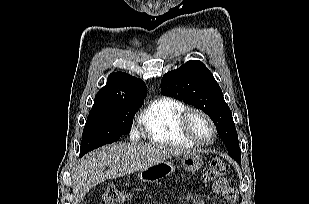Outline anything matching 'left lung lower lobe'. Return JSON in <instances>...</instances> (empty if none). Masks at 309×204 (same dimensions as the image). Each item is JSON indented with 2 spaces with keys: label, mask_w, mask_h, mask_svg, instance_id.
<instances>
[{
  "label": "left lung lower lobe",
  "mask_w": 309,
  "mask_h": 204,
  "mask_svg": "<svg viewBox=\"0 0 309 204\" xmlns=\"http://www.w3.org/2000/svg\"><path fill=\"white\" fill-rule=\"evenodd\" d=\"M217 131H218V134L221 135V130H217Z\"/></svg>",
  "instance_id": "1"
}]
</instances>
